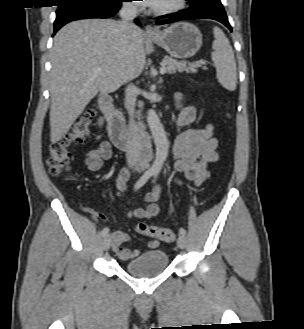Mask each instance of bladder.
I'll return each mask as SVG.
<instances>
[{
  "instance_id": "obj_1",
  "label": "bladder",
  "mask_w": 304,
  "mask_h": 329,
  "mask_svg": "<svg viewBox=\"0 0 304 329\" xmlns=\"http://www.w3.org/2000/svg\"><path fill=\"white\" fill-rule=\"evenodd\" d=\"M169 266V256L164 250H150L139 254L124 264V271L139 278L153 277Z\"/></svg>"
}]
</instances>
